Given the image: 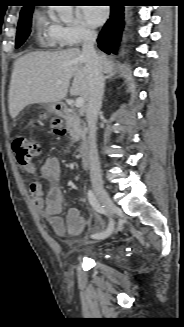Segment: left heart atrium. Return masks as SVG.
<instances>
[{"mask_svg":"<svg viewBox=\"0 0 184 327\" xmlns=\"http://www.w3.org/2000/svg\"><path fill=\"white\" fill-rule=\"evenodd\" d=\"M82 13L84 19L93 27L101 25L108 15L107 8L97 5L82 8Z\"/></svg>","mask_w":184,"mask_h":327,"instance_id":"left-heart-atrium-1","label":"left heart atrium"}]
</instances>
